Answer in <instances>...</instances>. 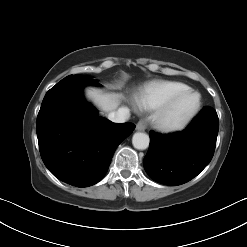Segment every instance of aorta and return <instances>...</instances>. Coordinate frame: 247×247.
I'll return each mask as SVG.
<instances>
[{"mask_svg":"<svg viewBox=\"0 0 247 247\" xmlns=\"http://www.w3.org/2000/svg\"><path fill=\"white\" fill-rule=\"evenodd\" d=\"M132 144L138 150H145L149 146V136L146 133L137 132L132 137Z\"/></svg>","mask_w":247,"mask_h":247,"instance_id":"762f6f07","label":"aorta"}]
</instances>
